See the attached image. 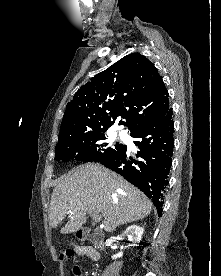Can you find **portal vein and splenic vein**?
<instances>
[{"instance_id":"18ae733b","label":"portal vein and splenic vein","mask_w":221,"mask_h":276,"mask_svg":"<svg viewBox=\"0 0 221 276\" xmlns=\"http://www.w3.org/2000/svg\"><path fill=\"white\" fill-rule=\"evenodd\" d=\"M90 216L95 222H100L102 219V215H100L99 213H90Z\"/></svg>"}]
</instances>
